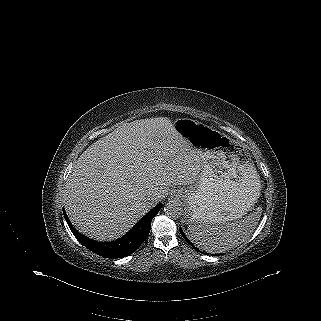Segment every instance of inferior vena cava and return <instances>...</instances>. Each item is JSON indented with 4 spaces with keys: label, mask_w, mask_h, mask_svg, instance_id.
Wrapping results in <instances>:
<instances>
[{
    "label": "inferior vena cava",
    "mask_w": 321,
    "mask_h": 321,
    "mask_svg": "<svg viewBox=\"0 0 321 321\" xmlns=\"http://www.w3.org/2000/svg\"><path fill=\"white\" fill-rule=\"evenodd\" d=\"M148 203L151 205H155L156 204V197H150L147 199Z\"/></svg>",
    "instance_id": "inferior-vena-cava-1"
}]
</instances>
